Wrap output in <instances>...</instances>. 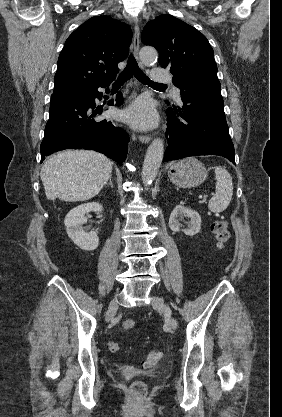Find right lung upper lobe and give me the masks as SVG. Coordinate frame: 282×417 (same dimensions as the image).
I'll return each instance as SVG.
<instances>
[{
  "mask_svg": "<svg viewBox=\"0 0 282 417\" xmlns=\"http://www.w3.org/2000/svg\"><path fill=\"white\" fill-rule=\"evenodd\" d=\"M132 31L108 16H94L66 40L58 58L52 95L111 83L128 55Z\"/></svg>",
  "mask_w": 282,
  "mask_h": 417,
  "instance_id": "cb5924a9",
  "label": "right lung upper lobe"
}]
</instances>
